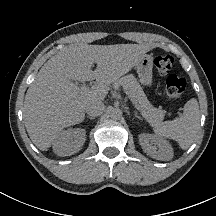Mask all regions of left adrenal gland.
<instances>
[{
	"instance_id": "a2214340",
	"label": "left adrenal gland",
	"mask_w": 216,
	"mask_h": 216,
	"mask_svg": "<svg viewBox=\"0 0 216 216\" xmlns=\"http://www.w3.org/2000/svg\"><path fill=\"white\" fill-rule=\"evenodd\" d=\"M134 117L137 118V119H139V120H142V118L137 114V112H135Z\"/></svg>"
}]
</instances>
